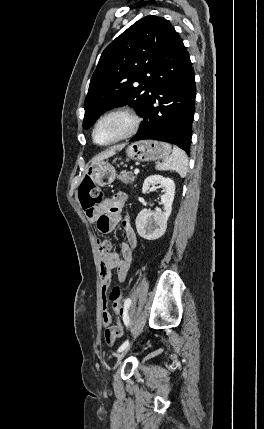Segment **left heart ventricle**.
Masks as SVG:
<instances>
[{
  "mask_svg": "<svg viewBox=\"0 0 264 429\" xmlns=\"http://www.w3.org/2000/svg\"><path fill=\"white\" fill-rule=\"evenodd\" d=\"M129 126L125 117L114 116L104 120L96 130V140L100 143L109 142L123 134Z\"/></svg>",
  "mask_w": 264,
  "mask_h": 429,
  "instance_id": "left-heart-ventricle-1",
  "label": "left heart ventricle"
}]
</instances>
